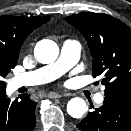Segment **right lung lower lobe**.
Masks as SVG:
<instances>
[{"mask_svg":"<svg viewBox=\"0 0 131 131\" xmlns=\"http://www.w3.org/2000/svg\"><path fill=\"white\" fill-rule=\"evenodd\" d=\"M36 104L28 94L10 101L5 89L0 90V131H33Z\"/></svg>","mask_w":131,"mask_h":131,"instance_id":"1","label":"right lung lower lobe"}]
</instances>
